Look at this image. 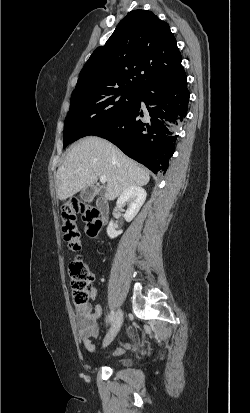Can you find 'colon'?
<instances>
[{
    "mask_svg": "<svg viewBox=\"0 0 250 413\" xmlns=\"http://www.w3.org/2000/svg\"><path fill=\"white\" fill-rule=\"evenodd\" d=\"M78 214L83 218L88 237H97L101 230V221L94 207L77 198L68 200L61 210L62 231L68 249L74 253H78L81 248V234L76 222ZM69 273L73 302L77 308H84L89 304L93 275L81 259L70 263Z\"/></svg>",
    "mask_w": 250,
    "mask_h": 413,
    "instance_id": "colon-1",
    "label": "colon"
}]
</instances>
